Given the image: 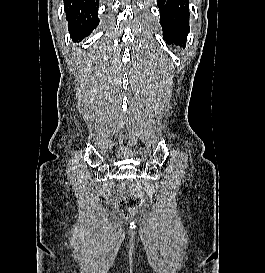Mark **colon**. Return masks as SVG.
Wrapping results in <instances>:
<instances>
[{
	"label": "colon",
	"instance_id": "obj_1",
	"mask_svg": "<svg viewBox=\"0 0 265 273\" xmlns=\"http://www.w3.org/2000/svg\"><path fill=\"white\" fill-rule=\"evenodd\" d=\"M143 194L139 191H134L122 197L117 204L119 213L123 217H129L142 204Z\"/></svg>",
	"mask_w": 265,
	"mask_h": 273
}]
</instances>
